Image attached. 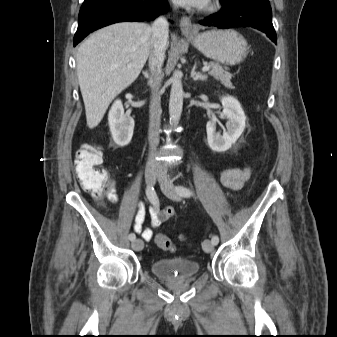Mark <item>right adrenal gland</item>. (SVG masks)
Segmentation results:
<instances>
[{"mask_svg":"<svg viewBox=\"0 0 337 337\" xmlns=\"http://www.w3.org/2000/svg\"><path fill=\"white\" fill-rule=\"evenodd\" d=\"M142 73H143V75H144V77H145L146 79H148V78H149V74H148V72H147V71H143Z\"/></svg>","mask_w":337,"mask_h":337,"instance_id":"1","label":"right adrenal gland"}]
</instances>
